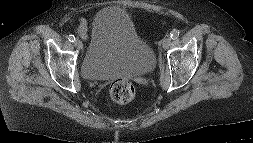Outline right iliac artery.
I'll list each match as a JSON object with an SVG mask.
<instances>
[{
    "mask_svg": "<svg viewBox=\"0 0 253 143\" xmlns=\"http://www.w3.org/2000/svg\"><path fill=\"white\" fill-rule=\"evenodd\" d=\"M68 40L70 41V42H74L75 40H76V38H75V36L74 35H69L68 36Z\"/></svg>",
    "mask_w": 253,
    "mask_h": 143,
    "instance_id": "1",
    "label": "right iliac artery"
}]
</instances>
